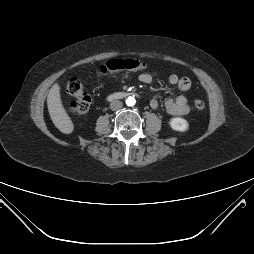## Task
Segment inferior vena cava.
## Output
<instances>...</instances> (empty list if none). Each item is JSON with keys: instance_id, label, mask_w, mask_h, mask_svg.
I'll list each match as a JSON object with an SVG mask.
<instances>
[{"instance_id": "inferior-vena-cava-1", "label": "inferior vena cava", "mask_w": 254, "mask_h": 254, "mask_svg": "<svg viewBox=\"0 0 254 254\" xmlns=\"http://www.w3.org/2000/svg\"><path fill=\"white\" fill-rule=\"evenodd\" d=\"M122 106H123V104L121 101H112L110 103V109L113 111H117V110L121 109Z\"/></svg>"}]
</instances>
